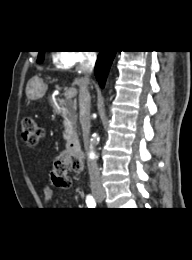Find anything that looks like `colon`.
<instances>
[{
  "mask_svg": "<svg viewBox=\"0 0 192 260\" xmlns=\"http://www.w3.org/2000/svg\"><path fill=\"white\" fill-rule=\"evenodd\" d=\"M43 129L29 117L21 121V136L24 144L29 148H35L43 138ZM82 159L66 152H61L55 156L53 169L51 171V180L56 187L69 188L71 186V172H77L81 169Z\"/></svg>",
  "mask_w": 192,
  "mask_h": 260,
  "instance_id": "5ec220e1",
  "label": "colon"
}]
</instances>
